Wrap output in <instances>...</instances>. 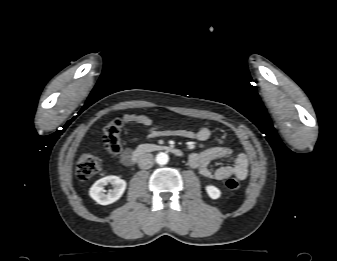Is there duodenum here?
<instances>
[{
  "instance_id": "duodenum-1",
  "label": "duodenum",
  "mask_w": 337,
  "mask_h": 261,
  "mask_svg": "<svg viewBox=\"0 0 337 261\" xmlns=\"http://www.w3.org/2000/svg\"><path fill=\"white\" fill-rule=\"evenodd\" d=\"M152 152H166L171 153L176 156H182L183 153L180 149L164 144H142L131 155V162L136 163L145 155L152 153Z\"/></svg>"
}]
</instances>
